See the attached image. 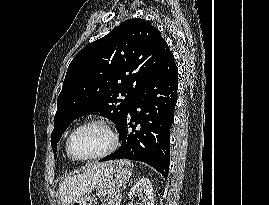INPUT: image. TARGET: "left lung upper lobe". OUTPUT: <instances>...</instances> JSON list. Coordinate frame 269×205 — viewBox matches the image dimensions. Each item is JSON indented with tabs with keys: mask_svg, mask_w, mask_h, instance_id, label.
I'll list each match as a JSON object with an SVG mask.
<instances>
[{
	"mask_svg": "<svg viewBox=\"0 0 269 205\" xmlns=\"http://www.w3.org/2000/svg\"><path fill=\"white\" fill-rule=\"evenodd\" d=\"M170 54L160 31L139 18L125 20L86 45L71 61L57 99L53 152L67 127L82 114L100 112L119 127Z\"/></svg>",
	"mask_w": 269,
	"mask_h": 205,
	"instance_id": "obj_1",
	"label": "left lung upper lobe"
}]
</instances>
